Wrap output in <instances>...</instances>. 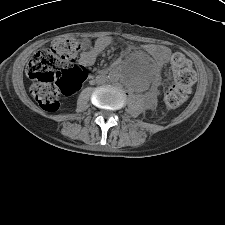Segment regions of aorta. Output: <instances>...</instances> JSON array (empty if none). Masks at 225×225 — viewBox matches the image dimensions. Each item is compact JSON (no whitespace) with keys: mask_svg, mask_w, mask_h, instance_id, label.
<instances>
[{"mask_svg":"<svg viewBox=\"0 0 225 225\" xmlns=\"http://www.w3.org/2000/svg\"><path fill=\"white\" fill-rule=\"evenodd\" d=\"M109 79H110L111 81H113V82H114V81H116V80H117V77H115V76L111 75Z\"/></svg>","mask_w":225,"mask_h":225,"instance_id":"762f6f07","label":"aorta"}]
</instances>
